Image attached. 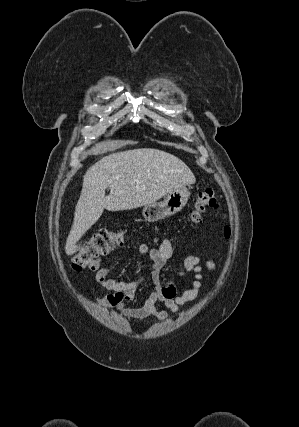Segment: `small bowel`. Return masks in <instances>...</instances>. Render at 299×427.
Instances as JSON below:
<instances>
[{
  "label": "small bowel",
  "instance_id": "small-bowel-1",
  "mask_svg": "<svg viewBox=\"0 0 299 427\" xmlns=\"http://www.w3.org/2000/svg\"><path fill=\"white\" fill-rule=\"evenodd\" d=\"M137 251L141 255H147L151 261V279L154 289L147 295L144 303L138 307H127L126 302L135 299L137 289L143 284L142 277L132 281H119L109 278L110 271L107 267L96 262L90 266V270L95 272L96 281L105 289L111 291L110 294L97 297V303L106 308H113L119 311L125 318L143 320L156 318L165 320L169 317L166 310L157 308V303L161 302L165 307L175 313L181 306L193 302L197 299L202 288L203 269L213 270L215 267L213 260H208L205 266L201 259L195 255L187 256L177 270L180 277H185L190 273L194 274L191 287L178 294L175 285L170 281H163L161 271L172 255V245L168 239H164L159 246L150 248L146 243H140Z\"/></svg>",
  "mask_w": 299,
  "mask_h": 427
}]
</instances>
